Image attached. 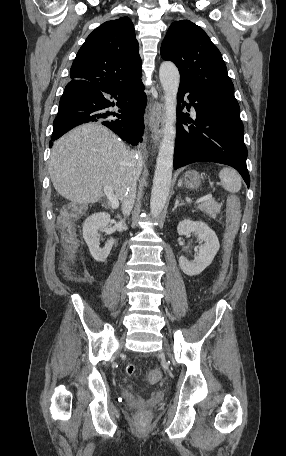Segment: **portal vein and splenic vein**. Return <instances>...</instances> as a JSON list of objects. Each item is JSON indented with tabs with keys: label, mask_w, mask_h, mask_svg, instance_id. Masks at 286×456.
<instances>
[{
	"label": "portal vein and splenic vein",
	"mask_w": 286,
	"mask_h": 456,
	"mask_svg": "<svg viewBox=\"0 0 286 456\" xmlns=\"http://www.w3.org/2000/svg\"><path fill=\"white\" fill-rule=\"evenodd\" d=\"M104 193L107 196L108 200L110 201L111 206L113 208L118 207L119 202H118L117 198L115 197L114 192H113V190H112V188L110 186H104ZM211 198H212V195H205V196L199 198L196 201V203L199 204V203H202L204 201L210 200Z\"/></svg>",
	"instance_id": "obj_1"
}]
</instances>
